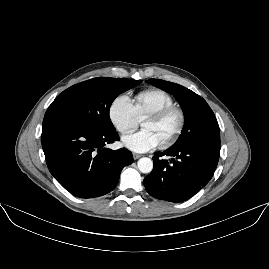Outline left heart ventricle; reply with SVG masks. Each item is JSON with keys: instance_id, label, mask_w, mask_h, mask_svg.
<instances>
[{"instance_id": "1", "label": "left heart ventricle", "mask_w": 269, "mask_h": 269, "mask_svg": "<svg viewBox=\"0 0 269 269\" xmlns=\"http://www.w3.org/2000/svg\"><path fill=\"white\" fill-rule=\"evenodd\" d=\"M178 120L176 116L170 115L165 118H147L143 122V129L151 131L158 139L160 145L164 144L173 134L177 127Z\"/></svg>"}]
</instances>
